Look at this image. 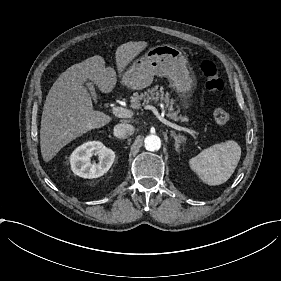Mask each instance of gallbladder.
<instances>
[{
    "mask_svg": "<svg viewBox=\"0 0 281 281\" xmlns=\"http://www.w3.org/2000/svg\"><path fill=\"white\" fill-rule=\"evenodd\" d=\"M87 86L89 87V89L91 90V94L94 100H97V95L95 93V89L93 87V85L91 83H87Z\"/></svg>",
    "mask_w": 281,
    "mask_h": 281,
    "instance_id": "obj_1",
    "label": "gallbladder"
}]
</instances>
